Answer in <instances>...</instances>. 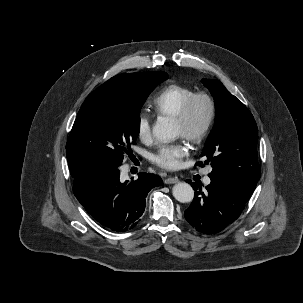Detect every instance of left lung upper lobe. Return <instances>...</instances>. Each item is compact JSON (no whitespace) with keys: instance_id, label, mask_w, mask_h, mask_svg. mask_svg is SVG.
I'll list each match as a JSON object with an SVG mask.
<instances>
[{"instance_id":"1","label":"left lung upper lobe","mask_w":303,"mask_h":303,"mask_svg":"<svg viewBox=\"0 0 303 303\" xmlns=\"http://www.w3.org/2000/svg\"><path fill=\"white\" fill-rule=\"evenodd\" d=\"M215 99V125L201 156L218 174L254 191L260 177L257 125L246 106L217 80L203 79ZM196 165L202 167L203 162Z\"/></svg>"}]
</instances>
